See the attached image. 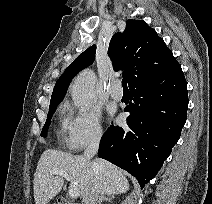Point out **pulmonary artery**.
<instances>
[{
    "label": "pulmonary artery",
    "mask_w": 212,
    "mask_h": 204,
    "mask_svg": "<svg viewBox=\"0 0 212 204\" xmlns=\"http://www.w3.org/2000/svg\"><path fill=\"white\" fill-rule=\"evenodd\" d=\"M110 96L116 100L120 101L123 97V91L121 89V82L116 80L112 83L111 88H110Z\"/></svg>",
    "instance_id": "pulmonary-artery-1"
}]
</instances>
